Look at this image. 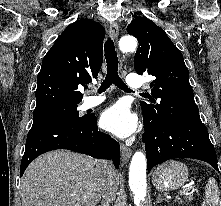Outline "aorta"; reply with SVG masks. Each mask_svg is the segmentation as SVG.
<instances>
[{
	"label": "aorta",
	"instance_id": "762f6f07",
	"mask_svg": "<svg viewBox=\"0 0 221 206\" xmlns=\"http://www.w3.org/2000/svg\"><path fill=\"white\" fill-rule=\"evenodd\" d=\"M119 48L122 52H132L137 48L135 37L123 36L119 41ZM129 186L134 195V203L140 206L146 196V156L143 152L134 153L129 168Z\"/></svg>",
	"mask_w": 221,
	"mask_h": 206
}]
</instances>
